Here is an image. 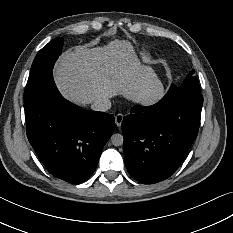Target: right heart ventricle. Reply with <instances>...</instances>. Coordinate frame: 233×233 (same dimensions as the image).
<instances>
[{
	"instance_id": "right-heart-ventricle-1",
	"label": "right heart ventricle",
	"mask_w": 233,
	"mask_h": 233,
	"mask_svg": "<svg viewBox=\"0 0 233 233\" xmlns=\"http://www.w3.org/2000/svg\"><path fill=\"white\" fill-rule=\"evenodd\" d=\"M147 57H148V54H147V53H143V54H142V58H143V59H146Z\"/></svg>"
}]
</instances>
